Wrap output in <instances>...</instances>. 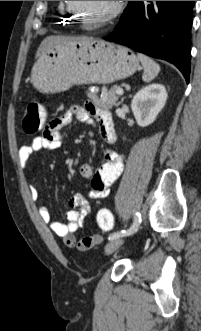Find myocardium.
Here are the masks:
<instances>
[{"mask_svg": "<svg viewBox=\"0 0 201 331\" xmlns=\"http://www.w3.org/2000/svg\"><path fill=\"white\" fill-rule=\"evenodd\" d=\"M122 7H123L122 1H114L112 9L107 14L98 18L94 22H89L86 18H84L81 15L78 9L74 6L73 1H68V8L73 12L75 17L83 21L87 26H91V27H99L108 24L120 14V12L122 11Z\"/></svg>", "mask_w": 201, "mask_h": 331, "instance_id": "1", "label": "myocardium"}]
</instances>
